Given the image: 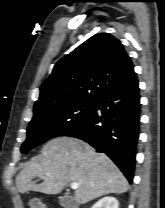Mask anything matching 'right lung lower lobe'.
<instances>
[{"label": "right lung lower lobe", "mask_w": 165, "mask_h": 208, "mask_svg": "<svg viewBox=\"0 0 165 208\" xmlns=\"http://www.w3.org/2000/svg\"><path fill=\"white\" fill-rule=\"evenodd\" d=\"M139 123L140 95L134 73L100 97L88 119L67 136L82 139L107 154L132 183Z\"/></svg>", "instance_id": "1"}]
</instances>
